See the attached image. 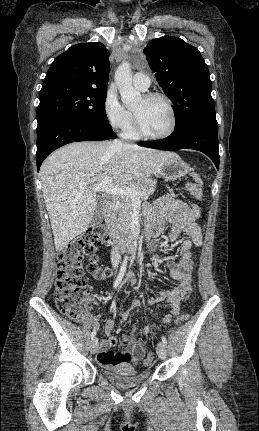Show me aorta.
<instances>
[{"mask_svg": "<svg viewBox=\"0 0 259 431\" xmlns=\"http://www.w3.org/2000/svg\"><path fill=\"white\" fill-rule=\"evenodd\" d=\"M115 83L121 95L122 103L129 109L141 102V93L132 85L131 65L128 62L121 63L115 72Z\"/></svg>", "mask_w": 259, "mask_h": 431, "instance_id": "1", "label": "aorta"}]
</instances>
